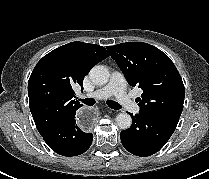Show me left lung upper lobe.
<instances>
[{"label": "left lung upper lobe", "instance_id": "1", "mask_svg": "<svg viewBox=\"0 0 209 179\" xmlns=\"http://www.w3.org/2000/svg\"><path fill=\"white\" fill-rule=\"evenodd\" d=\"M127 82L143 90L141 111L180 118L184 103L182 78L171 59L158 48L142 42L108 46Z\"/></svg>", "mask_w": 209, "mask_h": 179}]
</instances>
